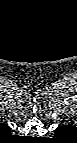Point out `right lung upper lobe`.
I'll return each mask as SVG.
<instances>
[{
  "instance_id": "obj_1",
  "label": "right lung upper lobe",
  "mask_w": 77,
  "mask_h": 143,
  "mask_svg": "<svg viewBox=\"0 0 77 143\" xmlns=\"http://www.w3.org/2000/svg\"><path fill=\"white\" fill-rule=\"evenodd\" d=\"M2 129L6 132H8L10 130V128L6 125H2Z\"/></svg>"
}]
</instances>
